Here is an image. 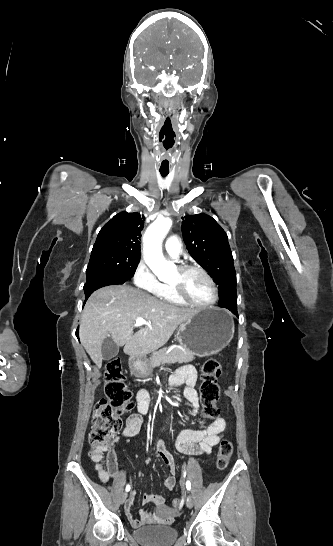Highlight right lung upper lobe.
Segmentation results:
<instances>
[{
  "label": "right lung upper lobe",
  "mask_w": 333,
  "mask_h": 546,
  "mask_svg": "<svg viewBox=\"0 0 333 546\" xmlns=\"http://www.w3.org/2000/svg\"><path fill=\"white\" fill-rule=\"evenodd\" d=\"M144 217L126 211L115 215L100 230L92 252L116 250L134 254L140 259V237Z\"/></svg>",
  "instance_id": "1"
}]
</instances>
